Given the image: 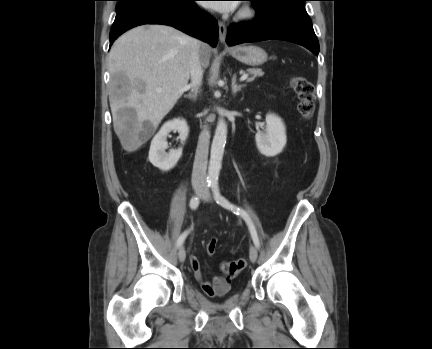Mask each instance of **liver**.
Here are the masks:
<instances>
[{"label":"liver","mask_w":432,"mask_h":349,"mask_svg":"<svg viewBox=\"0 0 432 349\" xmlns=\"http://www.w3.org/2000/svg\"><path fill=\"white\" fill-rule=\"evenodd\" d=\"M190 36L165 25L135 27L109 53V102L122 148L133 152L154 134L162 119L188 89ZM211 48L200 45V60L209 65ZM131 109L132 118L118 115Z\"/></svg>","instance_id":"obj_1"}]
</instances>
